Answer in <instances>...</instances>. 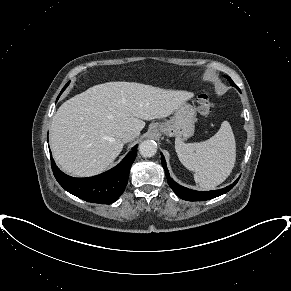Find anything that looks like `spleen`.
<instances>
[{"label": "spleen", "mask_w": 291, "mask_h": 291, "mask_svg": "<svg viewBox=\"0 0 291 291\" xmlns=\"http://www.w3.org/2000/svg\"><path fill=\"white\" fill-rule=\"evenodd\" d=\"M175 149L180 162L194 172V180L203 189L221 184L232 172L236 160V142L229 122L200 143H184L176 138Z\"/></svg>", "instance_id": "spleen-1"}]
</instances>
